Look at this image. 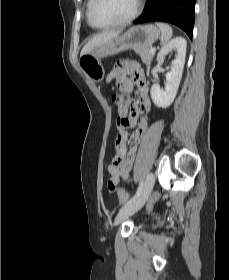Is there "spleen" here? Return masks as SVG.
I'll use <instances>...</instances> for the list:
<instances>
[{
	"instance_id": "obj_1",
	"label": "spleen",
	"mask_w": 229,
	"mask_h": 280,
	"mask_svg": "<svg viewBox=\"0 0 229 280\" xmlns=\"http://www.w3.org/2000/svg\"><path fill=\"white\" fill-rule=\"evenodd\" d=\"M157 26L161 31V43L166 45L172 37V28L165 23H157Z\"/></svg>"
}]
</instances>
